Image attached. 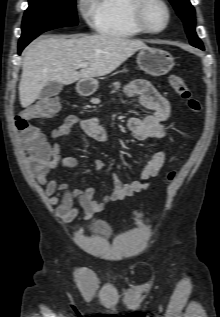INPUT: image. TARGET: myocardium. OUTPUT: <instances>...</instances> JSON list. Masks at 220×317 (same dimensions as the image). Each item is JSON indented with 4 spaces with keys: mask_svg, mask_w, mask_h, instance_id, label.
Returning a JSON list of instances; mask_svg holds the SVG:
<instances>
[{
    "mask_svg": "<svg viewBox=\"0 0 220 317\" xmlns=\"http://www.w3.org/2000/svg\"><path fill=\"white\" fill-rule=\"evenodd\" d=\"M151 3H157L163 7L166 13V22L160 29H155L149 25L146 19V10ZM171 9L166 0H137L133 6V20L135 24L144 32L158 34L167 29L171 22Z\"/></svg>",
    "mask_w": 220,
    "mask_h": 317,
    "instance_id": "1",
    "label": "myocardium"
}]
</instances>
